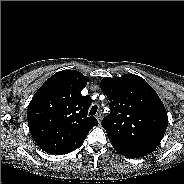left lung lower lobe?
Instances as JSON below:
<instances>
[{
    "label": "left lung lower lobe",
    "mask_w": 184,
    "mask_h": 184,
    "mask_svg": "<svg viewBox=\"0 0 184 184\" xmlns=\"http://www.w3.org/2000/svg\"><path fill=\"white\" fill-rule=\"evenodd\" d=\"M110 142L112 146L114 147V149L123 156L130 157V158H138V157H143L147 155L144 152L130 148L126 145H123L117 142H113V141H110Z\"/></svg>",
    "instance_id": "left-lung-lower-lobe-1"
}]
</instances>
